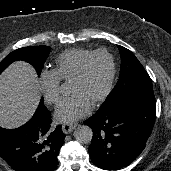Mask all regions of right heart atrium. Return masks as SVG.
<instances>
[{
  "mask_svg": "<svg viewBox=\"0 0 171 171\" xmlns=\"http://www.w3.org/2000/svg\"><path fill=\"white\" fill-rule=\"evenodd\" d=\"M39 85L46 103L56 104L60 99V80L53 71H43L39 77Z\"/></svg>",
  "mask_w": 171,
  "mask_h": 171,
  "instance_id": "d8ad5b80",
  "label": "right heart atrium"
}]
</instances>
